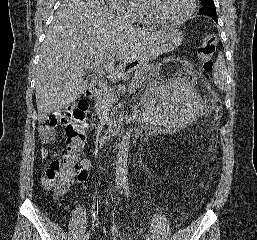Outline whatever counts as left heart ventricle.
Wrapping results in <instances>:
<instances>
[{
	"instance_id": "1",
	"label": "left heart ventricle",
	"mask_w": 257,
	"mask_h": 240,
	"mask_svg": "<svg viewBox=\"0 0 257 240\" xmlns=\"http://www.w3.org/2000/svg\"><path fill=\"white\" fill-rule=\"evenodd\" d=\"M154 6L161 16L174 19L186 12L188 0H154Z\"/></svg>"
}]
</instances>
